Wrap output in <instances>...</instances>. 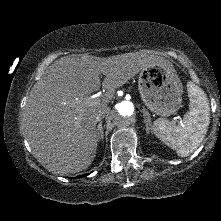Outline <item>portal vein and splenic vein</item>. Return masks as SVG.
<instances>
[{"label":"portal vein and splenic vein","instance_id":"obj_1","mask_svg":"<svg viewBox=\"0 0 221 221\" xmlns=\"http://www.w3.org/2000/svg\"><path fill=\"white\" fill-rule=\"evenodd\" d=\"M97 102H98V99L95 98L94 96H89V97H87V98H85V99L83 100V103H84L85 105H94V104H96Z\"/></svg>","mask_w":221,"mask_h":221}]
</instances>
